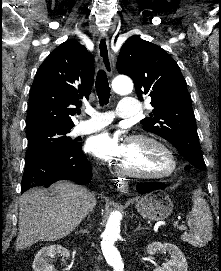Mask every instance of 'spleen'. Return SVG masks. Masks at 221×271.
<instances>
[{
	"instance_id": "1",
	"label": "spleen",
	"mask_w": 221,
	"mask_h": 271,
	"mask_svg": "<svg viewBox=\"0 0 221 271\" xmlns=\"http://www.w3.org/2000/svg\"><path fill=\"white\" fill-rule=\"evenodd\" d=\"M189 233H183L181 239L189 241L194 247H204L213 237V221L209 203L203 197H193V207L186 215Z\"/></svg>"
}]
</instances>
